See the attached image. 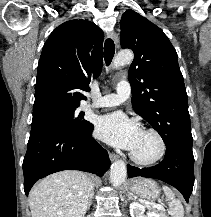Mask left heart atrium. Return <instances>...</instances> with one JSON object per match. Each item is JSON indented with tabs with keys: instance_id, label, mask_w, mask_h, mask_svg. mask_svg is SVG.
<instances>
[{
	"instance_id": "39dd6f15",
	"label": "left heart atrium",
	"mask_w": 211,
	"mask_h": 217,
	"mask_svg": "<svg viewBox=\"0 0 211 217\" xmlns=\"http://www.w3.org/2000/svg\"><path fill=\"white\" fill-rule=\"evenodd\" d=\"M141 133L136 122L119 112L101 116L96 124L98 138L123 149L133 150Z\"/></svg>"
}]
</instances>
